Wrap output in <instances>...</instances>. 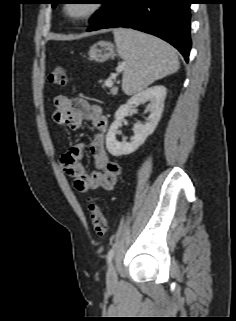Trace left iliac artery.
Wrapping results in <instances>:
<instances>
[{
	"instance_id": "obj_1",
	"label": "left iliac artery",
	"mask_w": 236,
	"mask_h": 321,
	"mask_svg": "<svg viewBox=\"0 0 236 321\" xmlns=\"http://www.w3.org/2000/svg\"><path fill=\"white\" fill-rule=\"evenodd\" d=\"M114 256V248L110 249L107 255V262L110 263Z\"/></svg>"
}]
</instances>
